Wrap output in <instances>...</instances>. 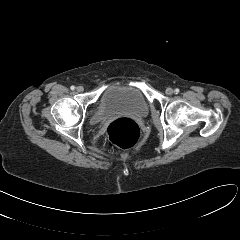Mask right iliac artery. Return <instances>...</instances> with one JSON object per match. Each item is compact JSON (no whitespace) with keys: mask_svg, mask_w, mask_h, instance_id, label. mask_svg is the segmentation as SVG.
Returning a JSON list of instances; mask_svg holds the SVG:
<instances>
[{"mask_svg":"<svg viewBox=\"0 0 240 240\" xmlns=\"http://www.w3.org/2000/svg\"><path fill=\"white\" fill-rule=\"evenodd\" d=\"M70 89H71V90H75V86H71Z\"/></svg>","mask_w":240,"mask_h":240,"instance_id":"obj_1","label":"right iliac artery"}]
</instances>
